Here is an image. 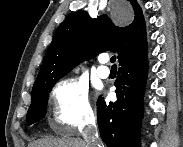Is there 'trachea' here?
<instances>
[{"mask_svg":"<svg viewBox=\"0 0 183 147\" xmlns=\"http://www.w3.org/2000/svg\"><path fill=\"white\" fill-rule=\"evenodd\" d=\"M111 63H113L112 67H117L115 62H116V56H112L110 59Z\"/></svg>","mask_w":183,"mask_h":147,"instance_id":"obj_1","label":"trachea"}]
</instances>
